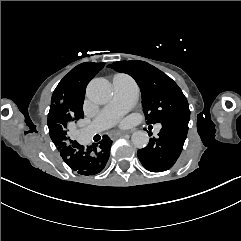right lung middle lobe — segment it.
Listing matches in <instances>:
<instances>
[{
    "label": "right lung middle lobe",
    "mask_w": 241,
    "mask_h": 241,
    "mask_svg": "<svg viewBox=\"0 0 241 241\" xmlns=\"http://www.w3.org/2000/svg\"><path fill=\"white\" fill-rule=\"evenodd\" d=\"M103 67L104 63H82L73 68L55 88L48 115L69 124L83 118L86 86Z\"/></svg>",
    "instance_id": "dd1d6c3e"
}]
</instances>
